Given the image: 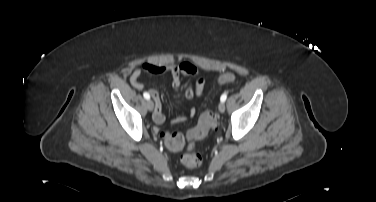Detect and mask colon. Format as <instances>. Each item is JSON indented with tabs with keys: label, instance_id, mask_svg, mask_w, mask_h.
Masks as SVG:
<instances>
[{
	"label": "colon",
	"instance_id": "obj_1",
	"mask_svg": "<svg viewBox=\"0 0 376 202\" xmlns=\"http://www.w3.org/2000/svg\"><path fill=\"white\" fill-rule=\"evenodd\" d=\"M237 81V77L232 73H225L219 77L222 84H230ZM215 117L210 111L201 113L197 125L190 131L188 136L179 132L164 131L161 137L165 146L171 151L185 150L181 161L187 168H196L201 165V156L193 151V142L196 139L205 137L214 126Z\"/></svg>",
	"mask_w": 376,
	"mask_h": 202
}]
</instances>
